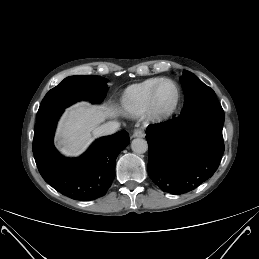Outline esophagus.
I'll return each instance as SVG.
<instances>
[{"instance_id": "esophagus-1", "label": "esophagus", "mask_w": 259, "mask_h": 259, "mask_svg": "<svg viewBox=\"0 0 259 259\" xmlns=\"http://www.w3.org/2000/svg\"><path fill=\"white\" fill-rule=\"evenodd\" d=\"M133 137L143 138L145 137V133L142 129H135L133 132Z\"/></svg>"}]
</instances>
